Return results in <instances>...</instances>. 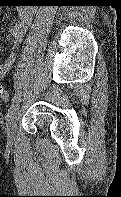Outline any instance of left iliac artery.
I'll return each instance as SVG.
<instances>
[{"label": "left iliac artery", "instance_id": "obj_1", "mask_svg": "<svg viewBox=\"0 0 121 197\" xmlns=\"http://www.w3.org/2000/svg\"><path fill=\"white\" fill-rule=\"evenodd\" d=\"M25 66V60H21L14 73V86H15V97L12 101V104L8 110V116H10L18 107L19 103L21 102V96H22V84H21V77H22V72Z\"/></svg>", "mask_w": 121, "mask_h": 197}]
</instances>
